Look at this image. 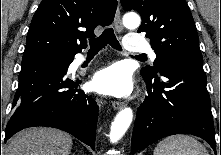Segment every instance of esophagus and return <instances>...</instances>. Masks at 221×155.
Returning <instances> with one entry per match:
<instances>
[{"mask_svg":"<svg viewBox=\"0 0 221 155\" xmlns=\"http://www.w3.org/2000/svg\"><path fill=\"white\" fill-rule=\"evenodd\" d=\"M114 25L116 30L120 33L123 31V24H122V20H121V13H120V6L118 5L117 10H116V14H115V18H114ZM113 108L116 109H122L124 106V103L122 102H118V101H114L112 103Z\"/></svg>","mask_w":221,"mask_h":155,"instance_id":"obj_1","label":"esophagus"}]
</instances>
